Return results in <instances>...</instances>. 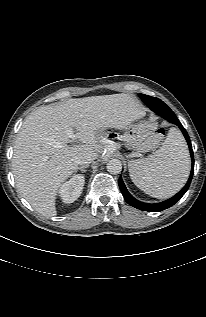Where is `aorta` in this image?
I'll return each instance as SVG.
<instances>
[{"mask_svg":"<svg viewBox=\"0 0 206 317\" xmlns=\"http://www.w3.org/2000/svg\"><path fill=\"white\" fill-rule=\"evenodd\" d=\"M107 171L110 174H119L122 171V163L118 159H111L107 163Z\"/></svg>","mask_w":206,"mask_h":317,"instance_id":"1","label":"aorta"}]
</instances>
